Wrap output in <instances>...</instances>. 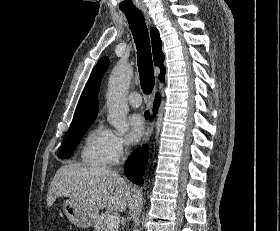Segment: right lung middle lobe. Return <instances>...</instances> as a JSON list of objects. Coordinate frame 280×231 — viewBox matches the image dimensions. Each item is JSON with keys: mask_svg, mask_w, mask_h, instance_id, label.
I'll return each instance as SVG.
<instances>
[{"mask_svg": "<svg viewBox=\"0 0 280 231\" xmlns=\"http://www.w3.org/2000/svg\"><path fill=\"white\" fill-rule=\"evenodd\" d=\"M92 123L93 121H90L77 126L70 127L69 131L67 132L66 139L63 143L62 151L58 155V157L70 158L78 143L80 142L81 138Z\"/></svg>", "mask_w": 280, "mask_h": 231, "instance_id": "obj_1", "label": "right lung middle lobe"}]
</instances>
